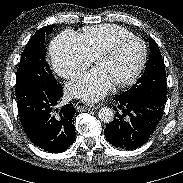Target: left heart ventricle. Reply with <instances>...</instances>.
I'll use <instances>...</instances> for the list:
<instances>
[{"label": "left heart ventricle", "instance_id": "b2bd125f", "mask_svg": "<svg viewBox=\"0 0 183 183\" xmlns=\"http://www.w3.org/2000/svg\"><path fill=\"white\" fill-rule=\"evenodd\" d=\"M142 53V45L138 41H127L114 54L99 60L96 67L104 72L111 84H114L128 78L134 72Z\"/></svg>", "mask_w": 183, "mask_h": 183}]
</instances>
